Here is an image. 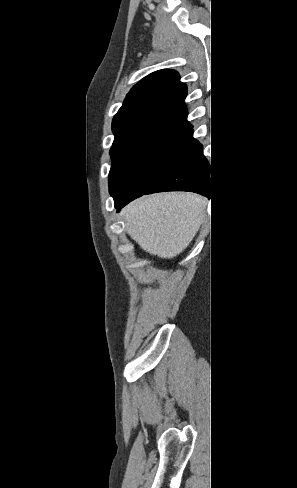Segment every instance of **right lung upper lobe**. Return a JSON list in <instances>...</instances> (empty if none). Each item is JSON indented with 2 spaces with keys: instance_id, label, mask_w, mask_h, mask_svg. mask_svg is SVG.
<instances>
[{
  "instance_id": "1",
  "label": "right lung upper lobe",
  "mask_w": 297,
  "mask_h": 488,
  "mask_svg": "<svg viewBox=\"0 0 297 488\" xmlns=\"http://www.w3.org/2000/svg\"><path fill=\"white\" fill-rule=\"evenodd\" d=\"M187 87L177 72L163 69L149 74L127 95L114 116L112 129L116 136L139 132H179L190 124L184 100Z\"/></svg>"
}]
</instances>
